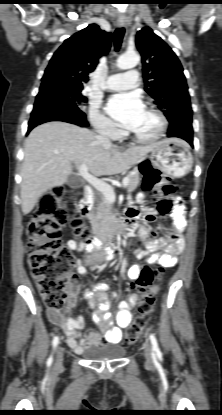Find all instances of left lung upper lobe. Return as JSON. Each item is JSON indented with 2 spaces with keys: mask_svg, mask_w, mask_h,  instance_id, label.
I'll return each instance as SVG.
<instances>
[{
  "mask_svg": "<svg viewBox=\"0 0 222 415\" xmlns=\"http://www.w3.org/2000/svg\"><path fill=\"white\" fill-rule=\"evenodd\" d=\"M136 46L142 56L144 89L170 125L192 116L186 78L176 54L149 27L137 33Z\"/></svg>",
  "mask_w": 222,
  "mask_h": 415,
  "instance_id": "1",
  "label": "left lung upper lobe"
}]
</instances>
